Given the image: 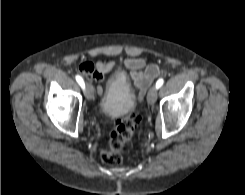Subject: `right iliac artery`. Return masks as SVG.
<instances>
[{
  "mask_svg": "<svg viewBox=\"0 0 245 195\" xmlns=\"http://www.w3.org/2000/svg\"><path fill=\"white\" fill-rule=\"evenodd\" d=\"M76 81L78 82V84L81 86L82 89H85V83L84 80L81 76L76 75Z\"/></svg>",
  "mask_w": 245,
  "mask_h": 195,
  "instance_id": "1",
  "label": "right iliac artery"
}]
</instances>
